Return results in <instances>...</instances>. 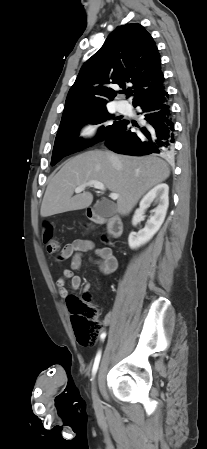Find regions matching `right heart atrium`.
Returning <instances> with one entry per match:
<instances>
[{
	"mask_svg": "<svg viewBox=\"0 0 207 449\" xmlns=\"http://www.w3.org/2000/svg\"><path fill=\"white\" fill-rule=\"evenodd\" d=\"M97 131V126L94 123L87 122L83 124L80 128L81 137L88 139L95 135Z\"/></svg>",
	"mask_w": 207,
	"mask_h": 449,
	"instance_id": "1",
	"label": "right heart atrium"
}]
</instances>
